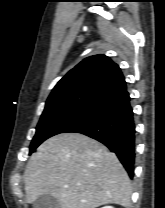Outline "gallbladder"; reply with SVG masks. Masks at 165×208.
I'll return each mask as SVG.
<instances>
[{
	"label": "gallbladder",
	"instance_id": "gallbladder-1",
	"mask_svg": "<svg viewBox=\"0 0 165 208\" xmlns=\"http://www.w3.org/2000/svg\"><path fill=\"white\" fill-rule=\"evenodd\" d=\"M33 208H60L56 198L50 195H41L33 203Z\"/></svg>",
	"mask_w": 165,
	"mask_h": 208
}]
</instances>
